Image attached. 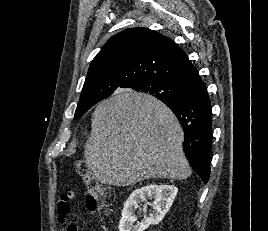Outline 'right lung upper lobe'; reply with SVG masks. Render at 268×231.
Masks as SVG:
<instances>
[{"label": "right lung upper lobe", "mask_w": 268, "mask_h": 231, "mask_svg": "<svg viewBox=\"0 0 268 231\" xmlns=\"http://www.w3.org/2000/svg\"><path fill=\"white\" fill-rule=\"evenodd\" d=\"M201 80L186 53L170 38L146 28L113 37L93 59L79 102L96 104L117 88L160 81L188 90Z\"/></svg>", "instance_id": "cb5924a9"}]
</instances>
